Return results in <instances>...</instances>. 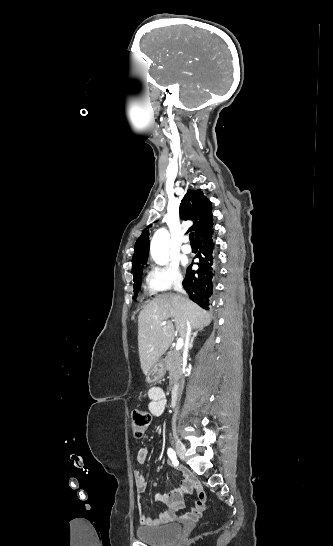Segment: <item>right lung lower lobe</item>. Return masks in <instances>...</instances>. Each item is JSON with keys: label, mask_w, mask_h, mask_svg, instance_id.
Listing matches in <instances>:
<instances>
[{"label": "right lung lower lobe", "mask_w": 333, "mask_h": 546, "mask_svg": "<svg viewBox=\"0 0 333 546\" xmlns=\"http://www.w3.org/2000/svg\"><path fill=\"white\" fill-rule=\"evenodd\" d=\"M212 234L211 226L195 239L199 249L195 256V258L199 259V262L196 263L199 269L194 271L191 269L192 265H190L183 281L184 289L189 294L190 299L206 310L212 305L211 296L217 263Z\"/></svg>", "instance_id": "1"}]
</instances>
